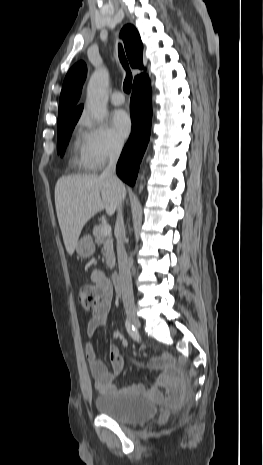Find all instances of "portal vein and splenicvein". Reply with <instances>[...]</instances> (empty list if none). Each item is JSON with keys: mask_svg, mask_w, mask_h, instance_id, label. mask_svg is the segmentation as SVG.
I'll return each mask as SVG.
<instances>
[{"mask_svg": "<svg viewBox=\"0 0 263 465\" xmlns=\"http://www.w3.org/2000/svg\"><path fill=\"white\" fill-rule=\"evenodd\" d=\"M101 234L104 236L111 234V227L108 224H103L101 228Z\"/></svg>", "mask_w": 263, "mask_h": 465, "instance_id": "portal-vein-and-splenic-vein-1", "label": "portal vein and splenic vein"}]
</instances>
